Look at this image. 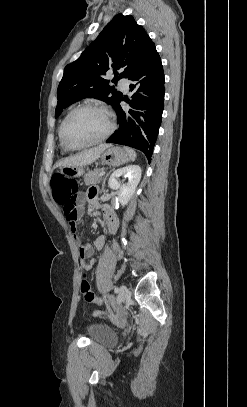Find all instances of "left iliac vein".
I'll return each instance as SVG.
<instances>
[{
	"instance_id": "left-iliac-vein-1",
	"label": "left iliac vein",
	"mask_w": 247,
	"mask_h": 407,
	"mask_svg": "<svg viewBox=\"0 0 247 407\" xmlns=\"http://www.w3.org/2000/svg\"><path fill=\"white\" fill-rule=\"evenodd\" d=\"M128 294V289L125 285H121L117 296V304H121Z\"/></svg>"
}]
</instances>
